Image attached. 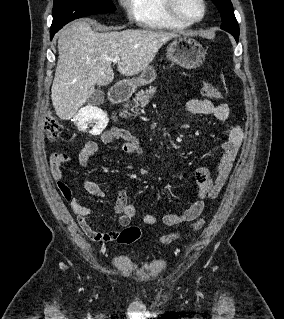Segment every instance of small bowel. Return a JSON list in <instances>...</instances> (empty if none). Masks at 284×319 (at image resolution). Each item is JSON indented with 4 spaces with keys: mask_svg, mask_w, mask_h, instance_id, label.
I'll return each mask as SVG.
<instances>
[{
    "mask_svg": "<svg viewBox=\"0 0 284 319\" xmlns=\"http://www.w3.org/2000/svg\"><path fill=\"white\" fill-rule=\"evenodd\" d=\"M186 111L192 115H212L220 121H226L230 115V108L227 104H215L209 100L192 99L185 105ZM243 130L240 126H231L227 137L221 145L219 161L214 173L207 168L200 167L195 172V180L198 187L197 200L187 209L180 213H168L162 217V222L167 226H176L190 222L201 215L206 201L215 199L224 188L233 168L239 148L242 144ZM100 140L106 145H111V150L127 154H141L142 149L138 139L120 127H111L104 131ZM116 141L121 143L115 145ZM98 151V144L94 140L87 141L78 156L81 167L86 168L92 156ZM70 162V158L62 152H54L50 156L51 173L56 182L57 188L64 199L70 204L76 215L77 222L83 233L92 241L107 243L117 240L119 230L99 232L94 230L87 218L91 210L80 204L73 193V188L68 184L63 173V166ZM83 187L86 191L96 197H103L104 191L92 180L86 179ZM115 213L119 214L118 224L126 227L136 215L135 207L129 203L125 190H120L114 205ZM143 222L147 225H155L158 218L154 215H145Z\"/></svg>",
    "mask_w": 284,
    "mask_h": 319,
    "instance_id": "small-bowel-1",
    "label": "small bowel"
}]
</instances>
